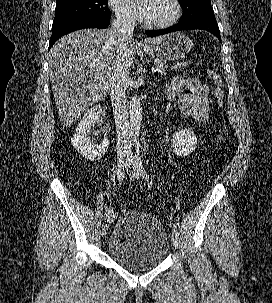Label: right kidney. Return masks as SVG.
<instances>
[{
	"instance_id": "obj_1",
	"label": "right kidney",
	"mask_w": 272,
	"mask_h": 303,
	"mask_svg": "<svg viewBox=\"0 0 272 303\" xmlns=\"http://www.w3.org/2000/svg\"><path fill=\"white\" fill-rule=\"evenodd\" d=\"M103 115V110L100 105H95L87 110L82 120L78 124L75 134L71 138L72 146L87 160L97 161L100 160L106 153L109 141L104 138L99 145H94L87 134L90 132L91 127L96 122L100 121Z\"/></svg>"
}]
</instances>
